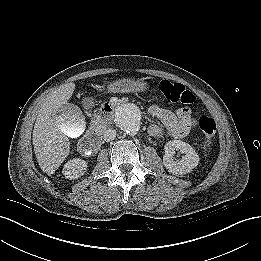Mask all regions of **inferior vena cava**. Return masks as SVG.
<instances>
[{"mask_svg":"<svg viewBox=\"0 0 261 261\" xmlns=\"http://www.w3.org/2000/svg\"><path fill=\"white\" fill-rule=\"evenodd\" d=\"M116 134H117V132L115 129L109 128V129L105 130V132L103 134V139L106 142H110V141L114 140V138L116 137Z\"/></svg>","mask_w":261,"mask_h":261,"instance_id":"602c4592","label":"inferior vena cava"}]
</instances>
